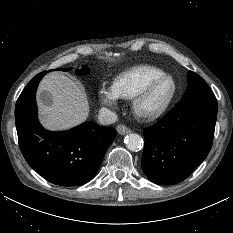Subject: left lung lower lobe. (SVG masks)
<instances>
[{
	"mask_svg": "<svg viewBox=\"0 0 233 233\" xmlns=\"http://www.w3.org/2000/svg\"><path fill=\"white\" fill-rule=\"evenodd\" d=\"M217 101L212 91L181 99L155 125L144 129L141 165L155 184L186 179L207 157L215 131Z\"/></svg>",
	"mask_w": 233,
	"mask_h": 233,
	"instance_id": "0a47b994",
	"label": "left lung lower lobe"
}]
</instances>
